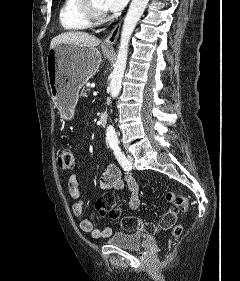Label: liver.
Masks as SVG:
<instances>
[{
  "label": "liver",
  "mask_w": 240,
  "mask_h": 281,
  "mask_svg": "<svg viewBox=\"0 0 240 281\" xmlns=\"http://www.w3.org/2000/svg\"><path fill=\"white\" fill-rule=\"evenodd\" d=\"M60 43H71L84 47H95L100 44V39L92 34L82 31L64 32L55 36L51 40L50 49L54 48Z\"/></svg>",
  "instance_id": "1"
}]
</instances>
